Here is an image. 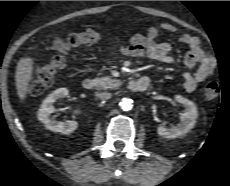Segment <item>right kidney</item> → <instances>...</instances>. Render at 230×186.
<instances>
[{
  "mask_svg": "<svg viewBox=\"0 0 230 186\" xmlns=\"http://www.w3.org/2000/svg\"><path fill=\"white\" fill-rule=\"evenodd\" d=\"M69 91L67 88H59L51 93L41 104V107L38 111V119L45 124V127L48 130L53 132H59L62 134H70L75 131L78 127L76 121H56L50 117V114L55 111L54 103L66 97Z\"/></svg>",
  "mask_w": 230,
  "mask_h": 186,
  "instance_id": "right-kidney-1",
  "label": "right kidney"
}]
</instances>
